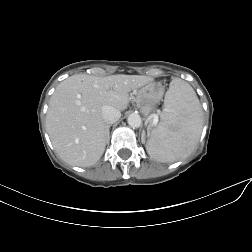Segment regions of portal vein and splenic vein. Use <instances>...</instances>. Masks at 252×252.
Wrapping results in <instances>:
<instances>
[{
    "mask_svg": "<svg viewBox=\"0 0 252 252\" xmlns=\"http://www.w3.org/2000/svg\"><path fill=\"white\" fill-rule=\"evenodd\" d=\"M151 118H152L151 125L152 126H156L158 124V121H159L158 115L157 114H152Z\"/></svg>",
    "mask_w": 252,
    "mask_h": 252,
    "instance_id": "18ae733b",
    "label": "portal vein and splenic vein"
}]
</instances>
